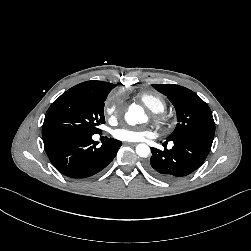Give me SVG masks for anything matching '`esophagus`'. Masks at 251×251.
<instances>
[{
    "mask_svg": "<svg viewBox=\"0 0 251 251\" xmlns=\"http://www.w3.org/2000/svg\"><path fill=\"white\" fill-rule=\"evenodd\" d=\"M127 145L135 146L137 143L134 142H126Z\"/></svg>",
    "mask_w": 251,
    "mask_h": 251,
    "instance_id": "obj_1",
    "label": "esophagus"
}]
</instances>
